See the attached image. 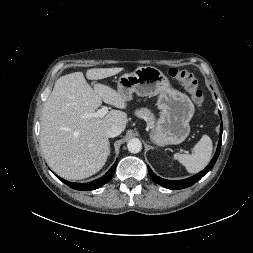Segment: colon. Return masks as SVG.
Wrapping results in <instances>:
<instances>
[{
  "label": "colon",
  "mask_w": 253,
  "mask_h": 253,
  "mask_svg": "<svg viewBox=\"0 0 253 253\" xmlns=\"http://www.w3.org/2000/svg\"><path fill=\"white\" fill-rule=\"evenodd\" d=\"M167 73L171 78L179 81L184 86L186 91L190 94L193 103L198 108H201L203 104V93L199 88V83L195 74L190 70L176 67L169 68Z\"/></svg>",
  "instance_id": "5ec220e1"
}]
</instances>
